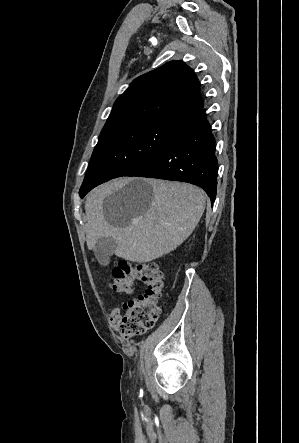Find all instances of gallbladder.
I'll return each mask as SVG.
<instances>
[{
  "label": "gallbladder",
  "instance_id": "obj_1",
  "mask_svg": "<svg viewBox=\"0 0 299 443\" xmlns=\"http://www.w3.org/2000/svg\"><path fill=\"white\" fill-rule=\"evenodd\" d=\"M116 242L112 237L100 238L93 251L100 264H105L110 256L114 254Z\"/></svg>",
  "mask_w": 299,
  "mask_h": 443
}]
</instances>
